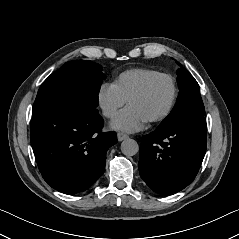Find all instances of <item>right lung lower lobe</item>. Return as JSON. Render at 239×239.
<instances>
[{
	"label": "right lung lower lobe",
	"mask_w": 239,
	"mask_h": 239,
	"mask_svg": "<svg viewBox=\"0 0 239 239\" xmlns=\"http://www.w3.org/2000/svg\"><path fill=\"white\" fill-rule=\"evenodd\" d=\"M98 110L76 100L57 102L34 116L30 141L44 180L65 194L87 190L105 170L115 132H102Z\"/></svg>",
	"instance_id": "1"
}]
</instances>
